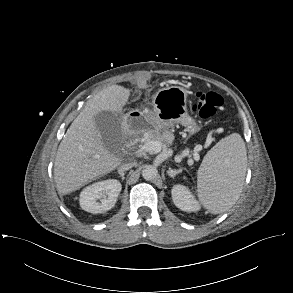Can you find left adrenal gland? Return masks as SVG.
Listing matches in <instances>:
<instances>
[{
  "mask_svg": "<svg viewBox=\"0 0 293 293\" xmlns=\"http://www.w3.org/2000/svg\"><path fill=\"white\" fill-rule=\"evenodd\" d=\"M182 169H178V170H172L171 168H169V170L167 171V174L171 177L174 178L177 174L181 173Z\"/></svg>",
  "mask_w": 293,
  "mask_h": 293,
  "instance_id": "left-adrenal-gland-1",
  "label": "left adrenal gland"
}]
</instances>
